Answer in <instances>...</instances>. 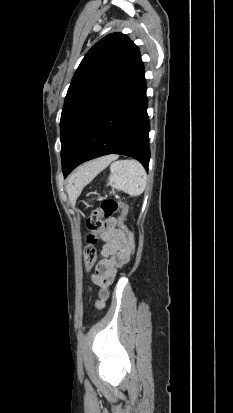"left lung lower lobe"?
Masks as SVG:
<instances>
[{"label":"left lung lower lobe","mask_w":233,"mask_h":413,"mask_svg":"<svg viewBox=\"0 0 233 413\" xmlns=\"http://www.w3.org/2000/svg\"><path fill=\"white\" fill-rule=\"evenodd\" d=\"M147 106L144 65L139 54L123 82L90 122L74 157L63 167L64 177L79 164L107 154L137 159L148 171Z\"/></svg>","instance_id":"obj_1"}]
</instances>
